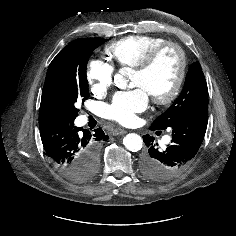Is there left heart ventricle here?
<instances>
[{
    "mask_svg": "<svg viewBox=\"0 0 236 236\" xmlns=\"http://www.w3.org/2000/svg\"><path fill=\"white\" fill-rule=\"evenodd\" d=\"M179 65L178 53L174 49H168L160 55L149 72H134L133 85L144 88L150 95H164L173 86Z\"/></svg>",
    "mask_w": 236,
    "mask_h": 236,
    "instance_id": "1",
    "label": "left heart ventricle"
}]
</instances>
